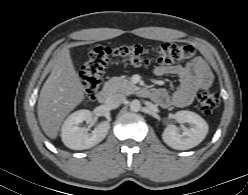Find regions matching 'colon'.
Segmentation results:
<instances>
[{
    "label": "colon",
    "instance_id": "5ec220e1",
    "mask_svg": "<svg viewBox=\"0 0 248 195\" xmlns=\"http://www.w3.org/2000/svg\"><path fill=\"white\" fill-rule=\"evenodd\" d=\"M196 54L194 46L177 42H165L155 47L128 45L120 47L96 46L89 51L81 78L84 102H92L102 85L103 75L111 66L171 65L183 62ZM199 108L204 116L213 114L219 105L217 93L203 90L198 95Z\"/></svg>",
    "mask_w": 248,
    "mask_h": 195
}]
</instances>
